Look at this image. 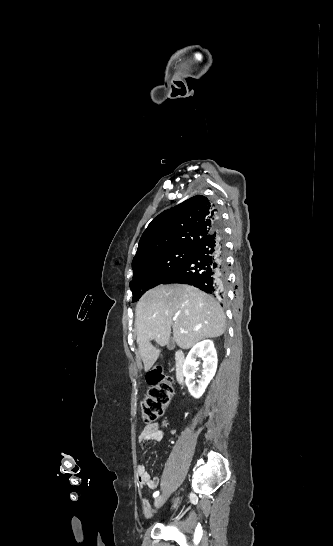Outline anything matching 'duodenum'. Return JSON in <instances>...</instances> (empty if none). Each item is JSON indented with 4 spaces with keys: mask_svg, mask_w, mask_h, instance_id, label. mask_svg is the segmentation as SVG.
<instances>
[{
    "mask_svg": "<svg viewBox=\"0 0 333 546\" xmlns=\"http://www.w3.org/2000/svg\"><path fill=\"white\" fill-rule=\"evenodd\" d=\"M184 361H185L184 354L182 352H178L176 354V378L179 384H183L184 382V373H183Z\"/></svg>",
    "mask_w": 333,
    "mask_h": 546,
    "instance_id": "duodenum-1",
    "label": "duodenum"
}]
</instances>
